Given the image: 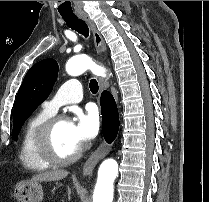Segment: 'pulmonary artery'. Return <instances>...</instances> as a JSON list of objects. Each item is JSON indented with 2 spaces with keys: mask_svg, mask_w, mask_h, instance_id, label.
I'll use <instances>...</instances> for the list:
<instances>
[{
  "mask_svg": "<svg viewBox=\"0 0 209 202\" xmlns=\"http://www.w3.org/2000/svg\"><path fill=\"white\" fill-rule=\"evenodd\" d=\"M81 98L82 86L80 80L71 79L60 85L56 98L52 101H45L43 106L47 112L54 114L57 112L60 106L78 103L80 102Z\"/></svg>",
  "mask_w": 209,
  "mask_h": 202,
  "instance_id": "1",
  "label": "pulmonary artery"
}]
</instances>
